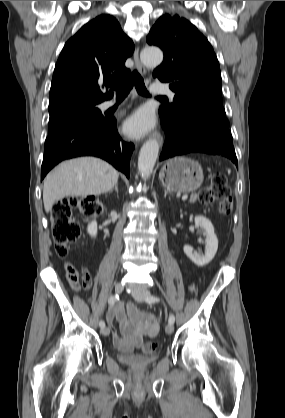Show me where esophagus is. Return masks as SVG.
Masks as SVG:
<instances>
[{
  "label": "esophagus",
  "mask_w": 285,
  "mask_h": 418,
  "mask_svg": "<svg viewBox=\"0 0 285 418\" xmlns=\"http://www.w3.org/2000/svg\"><path fill=\"white\" fill-rule=\"evenodd\" d=\"M133 59H134L135 66L138 69L139 73L141 75H145L146 74V68H145V66L142 64V62L140 60V57H139V48H137L135 50L134 55H133ZM152 137L155 138V139H157L159 141L160 145H162V143H163V137H162V135L159 132H157V131L153 132L152 133Z\"/></svg>",
  "instance_id": "obj_1"
}]
</instances>
